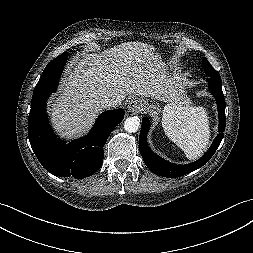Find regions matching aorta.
Wrapping results in <instances>:
<instances>
[{
    "label": "aorta",
    "mask_w": 253,
    "mask_h": 253,
    "mask_svg": "<svg viewBox=\"0 0 253 253\" xmlns=\"http://www.w3.org/2000/svg\"><path fill=\"white\" fill-rule=\"evenodd\" d=\"M140 128V119L138 117H129L124 121V129L129 133H135Z\"/></svg>",
    "instance_id": "1"
}]
</instances>
